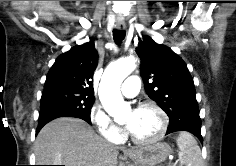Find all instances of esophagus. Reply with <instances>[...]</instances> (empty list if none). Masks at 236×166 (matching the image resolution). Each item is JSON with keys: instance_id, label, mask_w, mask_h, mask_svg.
I'll return each mask as SVG.
<instances>
[{"instance_id": "obj_1", "label": "esophagus", "mask_w": 236, "mask_h": 166, "mask_svg": "<svg viewBox=\"0 0 236 166\" xmlns=\"http://www.w3.org/2000/svg\"><path fill=\"white\" fill-rule=\"evenodd\" d=\"M115 26L118 30H124L125 29V23L122 22V21L116 22ZM129 151H132V150H129Z\"/></svg>"}]
</instances>
